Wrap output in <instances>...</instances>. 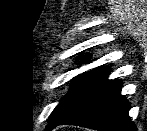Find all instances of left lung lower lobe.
I'll use <instances>...</instances> for the list:
<instances>
[{
	"mask_svg": "<svg viewBox=\"0 0 147 131\" xmlns=\"http://www.w3.org/2000/svg\"><path fill=\"white\" fill-rule=\"evenodd\" d=\"M122 82L108 80L73 115L55 125H76L99 131H136L128 111L129 102L120 94Z\"/></svg>",
	"mask_w": 147,
	"mask_h": 131,
	"instance_id": "0a47b994",
	"label": "left lung lower lobe"
}]
</instances>
